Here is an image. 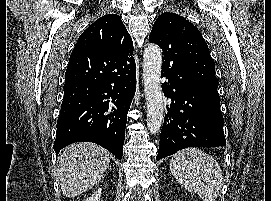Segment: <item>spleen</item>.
Wrapping results in <instances>:
<instances>
[{
    "mask_svg": "<svg viewBox=\"0 0 271 201\" xmlns=\"http://www.w3.org/2000/svg\"><path fill=\"white\" fill-rule=\"evenodd\" d=\"M170 170L187 191L197 193L203 201H215L223 185L218 162L199 148H186L174 154Z\"/></svg>",
    "mask_w": 271,
    "mask_h": 201,
    "instance_id": "spleen-1",
    "label": "spleen"
}]
</instances>
